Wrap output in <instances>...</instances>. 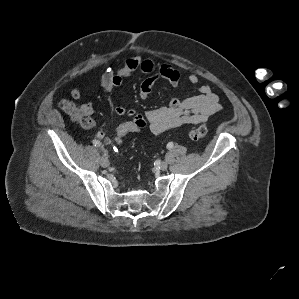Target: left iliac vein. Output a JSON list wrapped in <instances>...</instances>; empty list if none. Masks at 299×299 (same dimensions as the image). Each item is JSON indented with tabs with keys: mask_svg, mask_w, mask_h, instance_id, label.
<instances>
[{
	"mask_svg": "<svg viewBox=\"0 0 299 299\" xmlns=\"http://www.w3.org/2000/svg\"><path fill=\"white\" fill-rule=\"evenodd\" d=\"M159 168H160V170L165 171L168 168V164L165 161L160 162Z\"/></svg>",
	"mask_w": 299,
	"mask_h": 299,
	"instance_id": "4c4485c4",
	"label": "left iliac vein"
}]
</instances>
